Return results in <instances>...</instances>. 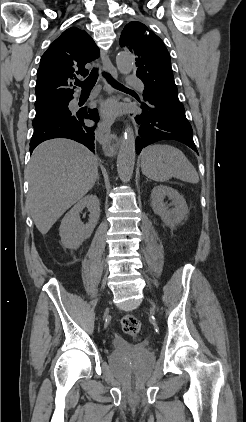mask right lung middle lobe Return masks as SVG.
I'll use <instances>...</instances> for the list:
<instances>
[{"label": "right lung middle lobe", "instance_id": "obj_1", "mask_svg": "<svg viewBox=\"0 0 246 422\" xmlns=\"http://www.w3.org/2000/svg\"><path fill=\"white\" fill-rule=\"evenodd\" d=\"M69 101L57 103L54 105H50L45 108L37 109L35 118L33 119L32 125L38 122H41L46 119L60 117L64 115L70 114V110L68 109Z\"/></svg>", "mask_w": 246, "mask_h": 422}]
</instances>
